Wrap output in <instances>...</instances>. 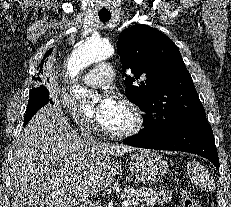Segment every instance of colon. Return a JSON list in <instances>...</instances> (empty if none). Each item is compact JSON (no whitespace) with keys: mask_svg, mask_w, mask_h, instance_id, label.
Masks as SVG:
<instances>
[{"mask_svg":"<svg viewBox=\"0 0 231 207\" xmlns=\"http://www.w3.org/2000/svg\"><path fill=\"white\" fill-rule=\"evenodd\" d=\"M183 207H202L200 202L193 196L189 190L182 192Z\"/></svg>","mask_w":231,"mask_h":207,"instance_id":"obj_1","label":"colon"}]
</instances>
